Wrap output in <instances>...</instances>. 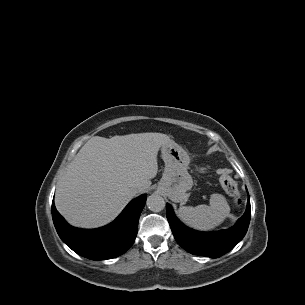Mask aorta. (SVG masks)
Returning a JSON list of instances; mask_svg holds the SVG:
<instances>
[{"label": "aorta", "mask_w": 305, "mask_h": 305, "mask_svg": "<svg viewBox=\"0 0 305 305\" xmlns=\"http://www.w3.org/2000/svg\"><path fill=\"white\" fill-rule=\"evenodd\" d=\"M146 205L152 212H160L165 208V201L160 195L152 194L147 198Z\"/></svg>", "instance_id": "1"}]
</instances>
